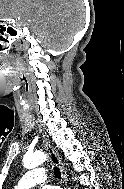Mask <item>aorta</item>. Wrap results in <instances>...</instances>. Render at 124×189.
<instances>
[{"mask_svg":"<svg viewBox=\"0 0 124 189\" xmlns=\"http://www.w3.org/2000/svg\"><path fill=\"white\" fill-rule=\"evenodd\" d=\"M46 159H47V155L41 151L34 153H27L23 158V165L27 169H33L41 165L43 162H45Z\"/></svg>","mask_w":124,"mask_h":189,"instance_id":"762f6f07","label":"aorta"}]
</instances>
